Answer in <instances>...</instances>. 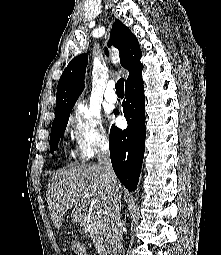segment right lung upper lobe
<instances>
[{"label":"right lung upper lobe","instance_id":"1","mask_svg":"<svg viewBox=\"0 0 221 255\" xmlns=\"http://www.w3.org/2000/svg\"><path fill=\"white\" fill-rule=\"evenodd\" d=\"M114 45L120 52L121 65L129 71L128 82L142 67L141 50L137 38L120 20H115L108 46ZM105 54L108 55L106 49ZM87 54L75 57L65 68L57 86L56 115L72 110L84 88ZM53 124V123H52Z\"/></svg>","mask_w":221,"mask_h":255}]
</instances>
